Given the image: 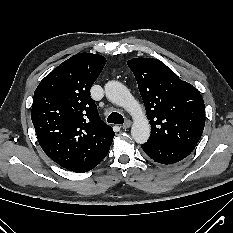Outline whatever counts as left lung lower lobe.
<instances>
[{
  "label": "left lung lower lobe",
  "mask_w": 233,
  "mask_h": 233,
  "mask_svg": "<svg viewBox=\"0 0 233 233\" xmlns=\"http://www.w3.org/2000/svg\"><path fill=\"white\" fill-rule=\"evenodd\" d=\"M141 147L151 159L160 164L176 163L187 157L192 152L152 139H149L145 144L141 145Z\"/></svg>",
  "instance_id": "1"
}]
</instances>
